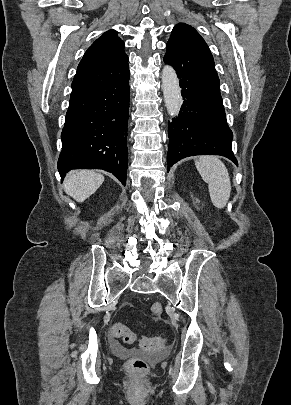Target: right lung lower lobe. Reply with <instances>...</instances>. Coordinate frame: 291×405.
I'll return each mask as SVG.
<instances>
[{"instance_id":"1","label":"right lung lower lobe","mask_w":291,"mask_h":405,"mask_svg":"<svg viewBox=\"0 0 291 405\" xmlns=\"http://www.w3.org/2000/svg\"><path fill=\"white\" fill-rule=\"evenodd\" d=\"M129 71L70 98L58 171L103 169L123 185L128 167Z\"/></svg>"}]
</instances>
